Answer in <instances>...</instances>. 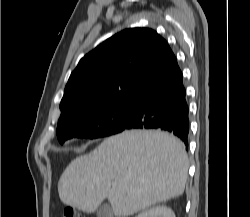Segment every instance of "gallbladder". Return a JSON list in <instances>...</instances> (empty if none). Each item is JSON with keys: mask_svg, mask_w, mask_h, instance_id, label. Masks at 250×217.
Returning a JSON list of instances; mask_svg holds the SVG:
<instances>
[{"mask_svg": "<svg viewBox=\"0 0 250 217\" xmlns=\"http://www.w3.org/2000/svg\"><path fill=\"white\" fill-rule=\"evenodd\" d=\"M97 217H114L113 210L109 204H103L97 209Z\"/></svg>", "mask_w": 250, "mask_h": 217, "instance_id": "obj_1", "label": "gallbladder"}]
</instances>
